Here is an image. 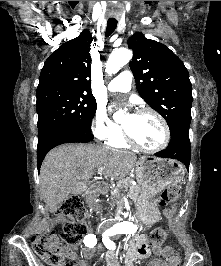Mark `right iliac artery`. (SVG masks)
I'll use <instances>...</instances> for the list:
<instances>
[{
    "mask_svg": "<svg viewBox=\"0 0 221 266\" xmlns=\"http://www.w3.org/2000/svg\"><path fill=\"white\" fill-rule=\"evenodd\" d=\"M84 244L89 248L94 247L97 244L96 236L94 234H88L84 238Z\"/></svg>",
    "mask_w": 221,
    "mask_h": 266,
    "instance_id": "82829eb1",
    "label": "right iliac artery"
}]
</instances>
